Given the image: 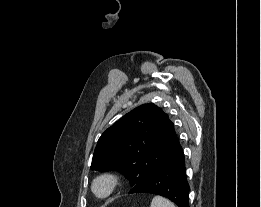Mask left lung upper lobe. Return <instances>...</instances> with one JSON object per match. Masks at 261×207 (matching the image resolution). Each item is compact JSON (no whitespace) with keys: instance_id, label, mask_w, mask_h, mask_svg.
I'll use <instances>...</instances> for the list:
<instances>
[{"instance_id":"obj_1","label":"left lung upper lobe","mask_w":261,"mask_h":207,"mask_svg":"<svg viewBox=\"0 0 261 207\" xmlns=\"http://www.w3.org/2000/svg\"><path fill=\"white\" fill-rule=\"evenodd\" d=\"M181 152L168 114L148 103L124 115L101 135L91 169L119 171L134 187Z\"/></svg>"}]
</instances>
